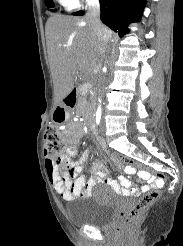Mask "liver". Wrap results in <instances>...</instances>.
I'll return each mask as SVG.
<instances>
[{"mask_svg": "<svg viewBox=\"0 0 183 246\" xmlns=\"http://www.w3.org/2000/svg\"><path fill=\"white\" fill-rule=\"evenodd\" d=\"M45 31L58 103L73 90L79 71L90 74L103 61L107 47L94 35L87 18L53 15L47 20ZM108 33L111 37L112 32Z\"/></svg>", "mask_w": 183, "mask_h": 246, "instance_id": "1", "label": "liver"}]
</instances>
